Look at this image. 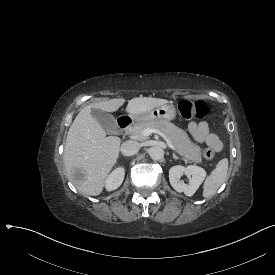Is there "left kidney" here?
<instances>
[{
  "label": "left kidney",
  "instance_id": "left-kidney-1",
  "mask_svg": "<svg viewBox=\"0 0 275 275\" xmlns=\"http://www.w3.org/2000/svg\"><path fill=\"white\" fill-rule=\"evenodd\" d=\"M184 174L192 176L189 180V184H185L184 181L180 180L181 176ZM205 177L206 171L195 165H189L188 167L177 165L171 167L169 170V180L171 186L177 192H184L186 196H192L204 181Z\"/></svg>",
  "mask_w": 275,
  "mask_h": 275
}]
</instances>
